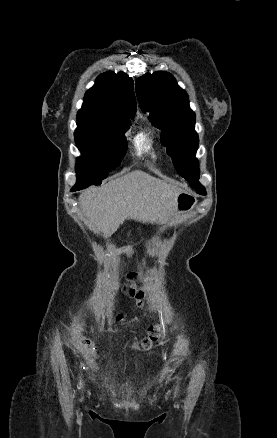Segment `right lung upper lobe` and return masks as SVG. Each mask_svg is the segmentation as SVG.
Listing matches in <instances>:
<instances>
[{
    "label": "right lung upper lobe",
    "mask_w": 277,
    "mask_h": 438,
    "mask_svg": "<svg viewBox=\"0 0 277 438\" xmlns=\"http://www.w3.org/2000/svg\"><path fill=\"white\" fill-rule=\"evenodd\" d=\"M133 80L123 72L100 74L85 96L77 124L112 125L134 118Z\"/></svg>",
    "instance_id": "obj_1"
}]
</instances>
